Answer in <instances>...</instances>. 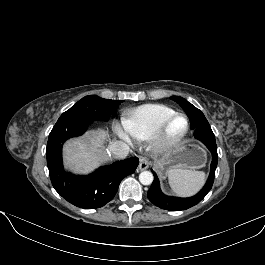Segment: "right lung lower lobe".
Wrapping results in <instances>:
<instances>
[{
  "mask_svg": "<svg viewBox=\"0 0 265 265\" xmlns=\"http://www.w3.org/2000/svg\"><path fill=\"white\" fill-rule=\"evenodd\" d=\"M93 121L76 118L57 122L49 134L46 148L47 167L54 189L71 204L85 209L102 207L115 196L123 178L135 172L139 160L132 157L100 167L87 176L64 170L62 147L66 140L82 135Z\"/></svg>",
  "mask_w": 265,
  "mask_h": 265,
  "instance_id": "right-lung-lower-lobe-1",
  "label": "right lung lower lobe"
}]
</instances>
